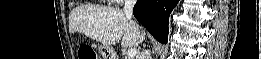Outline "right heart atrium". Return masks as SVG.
I'll return each instance as SVG.
<instances>
[{"label":"right heart atrium","mask_w":261,"mask_h":59,"mask_svg":"<svg viewBox=\"0 0 261 59\" xmlns=\"http://www.w3.org/2000/svg\"><path fill=\"white\" fill-rule=\"evenodd\" d=\"M111 1H113L114 3L121 4V3L124 2L125 0H111Z\"/></svg>","instance_id":"d8ad5b80"}]
</instances>
